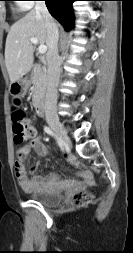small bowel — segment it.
Segmentation results:
<instances>
[{
    "mask_svg": "<svg viewBox=\"0 0 133 253\" xmlns=\"http://www.w3.org/2000/svg\"><path fill=\"white\" fill-rule=\"evenodd\" d=\"M32 149H35V151L42 157L47 156L48 154L47 147L43 144L41 137L36 133H34L33 137L29 140L28 143L22 145L18 149L17 153L20 156H25L29 154ZM79 175L82 178L83 185H93V176L89 170L82 168L79 172ZM15 176L20 188L25 192H34L41 190L46 182V180L40 176L33 174L29 176L24 166L20 162L15 163Z\"/></svg>",
    "mask_w": 133,
    "mask_h": 253,
    "instance_id": "obj_1",
    "label": "small bowel"
}]
</instances>
